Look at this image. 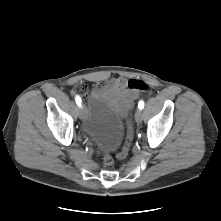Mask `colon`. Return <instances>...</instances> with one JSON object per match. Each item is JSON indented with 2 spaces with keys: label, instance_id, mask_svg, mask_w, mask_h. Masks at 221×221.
I'll list each match as a JSON object with an SVG mask.
<instances>
[{
  "label": "colon",
  "instance_id": "1",
  "mask_svg": "<svg viewBox=\"0 0 221 221\" xmlns=\"http://www.w3.org/2000/svg\"><path fill=\"white\" fill-rule=\"evenodd\" d=\"M128 87L134 92H143L148 89V84L142 79H130L128 81ZM75 91L81 97H85L87 94V87L84 84H80L77 86ZM131 140L132 133L129 131L122 149L116 154V158L123 159L128 155L131 146ZM103 163L106 166H111L114 163V158L110 154L105 153L103 156Z\"/></svg>",
  "mask_w": 221,
  "mask_h": 221
}]
</instances>
